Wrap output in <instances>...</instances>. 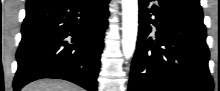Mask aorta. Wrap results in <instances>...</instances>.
<instances>
[{
	"mask_svg": "<svg viewBox=\"0 0 220 91\" xmlns=\"http://www.w3.org/2000/svg\"><path fill=\"white\" fill-rule=\"evenodd\" d=\"M122 2V49L126 59L132 57L138 31V0H121Z\"/></svg>",
	"mask_w": 220,
	"mask_h": 91,
	"instance_id": "obj_1",
	"label": "aorta"
}]
</instances>
